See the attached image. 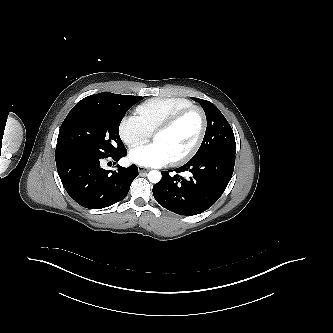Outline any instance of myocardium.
<instances>
[{"mask_svg": "<svg viewBox=\"0 0 333 333\" xmlns=\"http://www.w3.org/2000/svg\"><path fill=\"white\" fill-rule=\"evenodd\" d=\"M193 112L198 113L199 116H200V120H201V127H200L199 134L197 136V139L195 140L194 144L186 152H184L183 154H181V155L175 157L174 159H172L171 160L172 164H180L182 162L187 161L192 156H194L195 153L200 148V146H201V144L204 140V137L206 135L207 125H208L207 124V116H206L205 111L203 110V108H201L200 106H196V105H193V106L187 107L185 109H182L179 112L172 115L166 121H164L153 132V138H154L157 134L163 133V132H166V131L172 129L183 118H185L187 115H189Z\"/></svg>", "mask_w": 333, "mask_h": 333, "instance_id": "1", "label": "myocardium"}]
</instances>
